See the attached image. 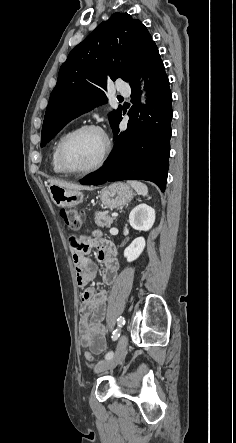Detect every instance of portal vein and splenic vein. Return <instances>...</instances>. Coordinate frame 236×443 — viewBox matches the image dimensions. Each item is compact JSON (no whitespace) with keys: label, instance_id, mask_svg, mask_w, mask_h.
I'll return each mask as SVG.
<instances>
[{"label":"portal vein and splenic vein","instance_id":"18ae733b","mask_svg":"<svg viewBox=\"0 0 236 443\" xmlns=\"http://www.w3.org/2000/svg\"><path fill=\"white\" fill-rule=\"evenodd\" d=\"M111 216H112V217H117V216H118V213H115V212H114V213L111 214Z\"/></svg>","mask_w":236,"mask_h":443}]
</instances>
